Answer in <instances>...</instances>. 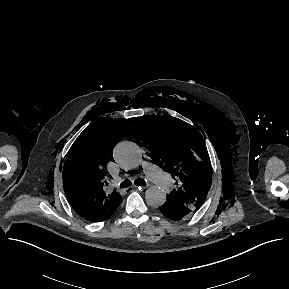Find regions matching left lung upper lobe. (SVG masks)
<instances>
[{
  "label": "left lung upper lobe",
  "instance_id": "left-lung-upper-lobe-1",
  "mask_svg": "<svg viewBox=\"0 0 289 289\" xmlns=\"http://www.w3.org/2000/svg\"><path fill=\"white\" fill-rule=\"evenodd\" d=\"M143 146L154 163L177 177V188L167 201L198 210L211 187V163L199 132L171 116H147L138 120Z\"/></svg>",
  "mask_w": 289,
  "mask_h": 289
}]
</instances>
